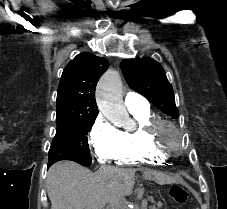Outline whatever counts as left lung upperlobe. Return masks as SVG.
<instances>
[{
  "instance_id": "left-lung-upper-lobe-1",
  "label": "left lung upper lobe",
  "mask_w": 227,
  "mask_h": 209,
  "mask_svg": "<svg viewBox=\"0 0 227 209\" xmlns=\"http://www.w3.org/2000/svg\"><path fill=\"white\" fill-rule=\"evenodd\" d=\"M121 69L130 88L166 115L178 117L172 86L158 62L150 58L123 60Z\"/></svg>"
}]
</instances>
